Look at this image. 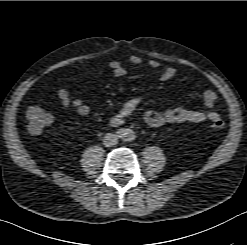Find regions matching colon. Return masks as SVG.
Instances as JSON below:
<instances>
[{"label":"colon","mask_w":247,"mask_h":245,"mask_svg":"<svg viewBox=\"0 0 247 245\" xmlns=\"http://www.w3.org/2000/svg\"><path fill=\"white\" fill-rule=\"evenodd\" d=\"M26 118L28 129L32 134H40L51 123L50 115L38 106L30 107L27 111ZM224 126V121L219 118L212 123L211 129L213 131H220Z\"/></svg>","instance_id":"1"}]
</instances>
